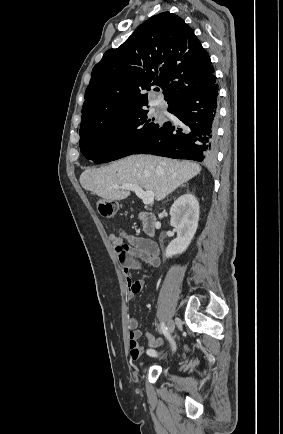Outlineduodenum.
Returning <instances> with one entry per match:
<instances>
[{
	"label": "duodenum",
	"mask_w": 283,
	"mask_h": 434,
	"mask_svg": "<svg viewBox=\"0 0 283 434\" xmlns=\"http://www.w3.org/2000/svg\"><path fill=\"white\" fill-rule=\"evenodd\" d=\"M139 219L142 222L143 231L148 237H153L156 233L157 221L153 213L140 212Z\"/></svg>",
	"instance_id": "duodenum-1"
}]
</instances>
